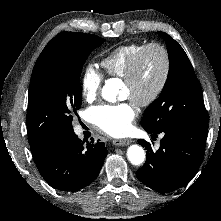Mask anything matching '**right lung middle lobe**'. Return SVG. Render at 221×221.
Instances as JSON below:
<instances>
[{
    "label": "right lung middle lobe",
    "instance_id": "obj_1",
    "mask_svg": "<svg viewBox=\"0 0 221 221\" xmlns=\"http://www.w3.org/2000/svg\"><path fill=\"white\" fill-rule=\"evenodd\" d=\"M105 40L91 34L57 35L43 49L33 68L27 110V129L34 144L72 132V112L80 109L82 66Z\"/></svg>",
    "mask_w": 221,
    "mask_h": 221
}]
</instances>
